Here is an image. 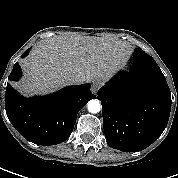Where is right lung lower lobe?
I'll use <instances>...</instances> for the list:
<instances>
[{
    "mask_svg": "<svg viewBox=\"0 0 178 178\" xmlns=\"http://www.w3.org/2000/svg\"><path fill=\"white\" fill-rule=\"evenodd\" d=\"M30 48L22 54H29ZM22 76L19 63H15L9 80ZM90 84L68 86L44 97L25 98L7 83L5 110L14 128L28 141L55 145L67 140L74 128L77 113L91 99Z\"/></svg>",
    "mask_w": 178,
    "mask_h": 178,
    "instance_id": "1",
    "label": "right lung lower lobe"
}]
</instances>
